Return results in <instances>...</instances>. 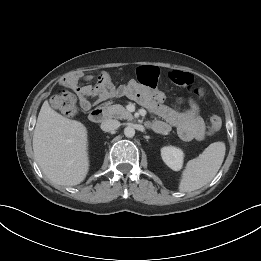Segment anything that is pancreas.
<instances>
[{"label": "pancreas", "mask_w": 261, "mask_h": 261, "mask_svg": "<svg viewBox=\"0 0 261 261\" xmlns=\"http://www.w3.org/2000/svg\"><path fill=\"white\" fill-rule=\"evenodd\" d=\"M110 117H114L117 119H127L132 120V114L127 111L122 105L115 104L108 107Z\"/></svg>", "instance_id": "obj_1"}]
</instances>
